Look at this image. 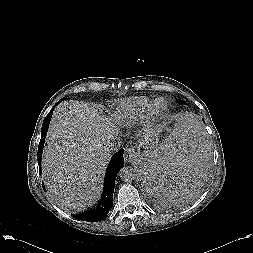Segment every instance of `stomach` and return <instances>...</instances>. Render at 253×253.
Returning a JSON list of instances; mask_svg holds the SVG:
<instances>
[{"mask_svg": "<svg viewBox=\"0 0 253 253\" xmlns=\"http://www.w3.org/2000/svg\"><path fill=\"white\" fill-rule=\"evenodd\" d=\"M157 147L158 146H156V149H157ZM155 150L154 151H149L143 158H141L137 162L138 177H139L140 181H143V179H144V173H145L147 167L149 166V164L154 162V153H155Z\"/></svg>", "mask_w": 253, "mask_h": 253, "instance_id": "1", "label": "stomach"}]
</instances>
